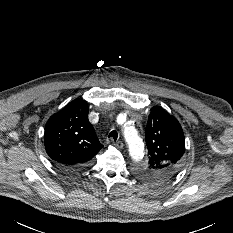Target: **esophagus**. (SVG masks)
Wrapping results in <instances>:
<instances>
[{
  "label": "esophagus",
  "instance_id": "obj_1",
  "mask_svg": "<svg viewBox=\"0 0 233 233\" xmlns=\"http://www.w3.org/2000/svg\"><path fill=\"white\" fill-rule=\"evenodd\" d=\"M113 145L119 149L123 148L124 144L122 141L113 142Z\"/></svg>",
  "mask_w": 233,
  "mask_h": 233
}]
</instances>
